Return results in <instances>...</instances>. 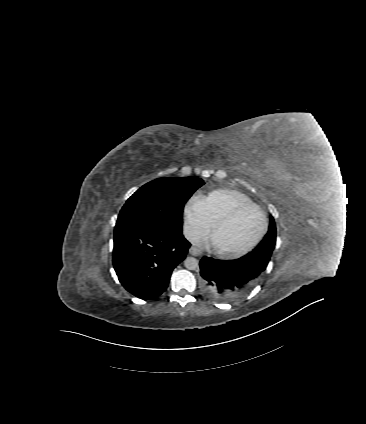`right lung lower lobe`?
Instances as JSON below:
<instances>
[{
  "label": "right lung lower lobe",
  "mask_w": 366,
  "mask_h": 424,
  "mask_svg": "<svg viewBox=\"0 0 366 424\" xmlns=\"http://www.w3.org/2000/svg\"><path fill=\"white\" fill-rule=\"evenodd\" d=\"M191 244L157 225L116 226L113 266L124 288L141 299L159 296Z\"/></svg>",
  "instance_id": "1"
}]
</instances>
